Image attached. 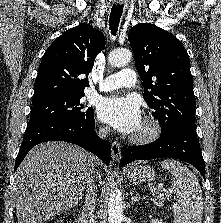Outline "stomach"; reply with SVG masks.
Instances as JSON below:
<instances>
[{
    "label": "stomach",
    "mask_w": 221,
    "mask_h": 223,
    "mask_svg": "<svg viewBox=\"0 0 221 223\" xmlns=\"http://www.w3.org/2000/svg\"><path fill=\"white\" fill-rule=\"evenodd\" d=\"M128 178L134 184L150 182L155 178V171L146 165L132 166L128 171Z\"/></svg>",
    "instance_id": "1"
}]
</instances>
